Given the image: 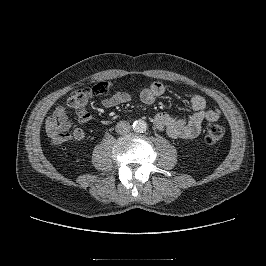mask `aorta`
<instances>
[{"instance_id": "1", "label": "aorta", "mask_w": 266, "mask_h": 266, "mask_svg": "<svg viewBox=\"0 0 266 266\" xmlns=\"http://www.w3.org/2000/svg\"><path fill=\"white\" fill-rule=\"evenodd\" d=\"M146 129H147V123L144 120L139 119V120L134 121L133 130L135 132L142 133L146 131Z\"/></svg>"}]
</instances>
